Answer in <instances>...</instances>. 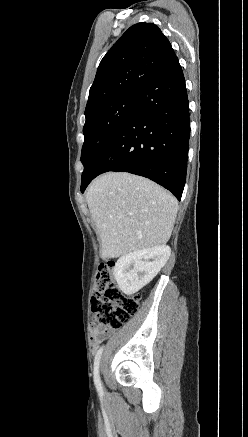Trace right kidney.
I'll return each instance as SVG.
<instances>
[{
	"label": "right kidney",
	"mask_w": 248,
	"mask_h": 437,
	"mask_svg": "<svg viewBox=\"0 0 248 437\" xmlns=\"http://www.w3.org/2000/svg\"><path fill=\"white\" fill-rule=\"evenodd\" d=\"M171 255V248L161 245L123 255L114 267V278L120 290L132 295L158 274Z\"/></svg>",
	"instance_id": "1"
}]
</instances>
